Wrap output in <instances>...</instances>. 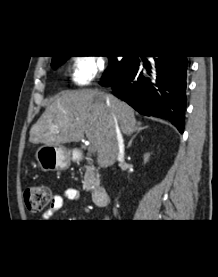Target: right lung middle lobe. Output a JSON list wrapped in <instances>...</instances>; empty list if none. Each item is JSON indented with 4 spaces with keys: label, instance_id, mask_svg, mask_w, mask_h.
Returning a JSON list of instances; mask_svg holds the SVG:
<instances>
[{
    "label": "right lung middle lobe",
    "instance_id": "obj_1",
    "mask_svg": "<svg viewBox=\"0 0 218 277\" xmlns=\"http://www.w3.org/2000/svg\"><path fill=\"white\" fill-rule=\"evenodd\" d=\"M70 56H60L56 59L52 60V67L53 69H56L61 64H63ZM110 58L109 66L105 73L103 74V82H106L107 84L112 83L115 78L117 77L118 73L121 71L123 67L128 65L134 57L128 56L123 58L122 60H117L114 58V56H108Z\"/></svg>",
    "mask_w": 218,
    "mask_h": 277
}]
</instances>
